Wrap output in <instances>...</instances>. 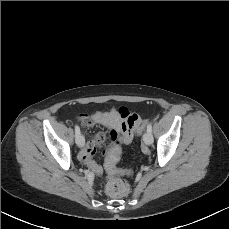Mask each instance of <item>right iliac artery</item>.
<instances>
[{"label":"right iliac artery","mask_w":229,"mask_h":229,"mask_svg":"<svg viewBox=\"0 0 229 229\" xmlns=\"http://www.w3.org/2000/svg\"><path fill=\"white\" fill-rule=\"evenodd\" d=\"M75 134L76 136L80 135V128L78 125H75Z\"/></svg>","instance_id":"obj_1"}]
</instances>
